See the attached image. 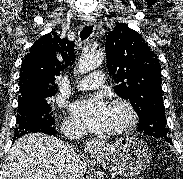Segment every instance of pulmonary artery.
<instances>
[{
	"label": "pulmonary artery",
	"instance_id": "e3ab8cb5",
	"mask_svg": "<svg viewBox=\"0 0 183 179\" xmlns=\"http://www.w3.org/2000/svg\"><path fill=\"white\" fill-rule=\"evenodd\" d=\"M104 81H105V74L102 71H95L82 78L78 82L77 88L79 90L97 89L104 84Z\"/></svg>",
	"mask_w": 183,
	"mask_h": 179
}]
</instances>
